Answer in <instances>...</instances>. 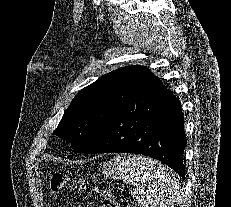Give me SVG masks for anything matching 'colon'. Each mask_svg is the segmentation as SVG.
Instances as JSON below:
<instances>
[{"label": "colon", "mask_w": 231, "mask_h": 207, "mask_svg": "<svg viewBox=\"0 0 231 207\" xmlns=\"http://www.w3.org/2000/svg\"><path fill=\"white\" fill-rule=\"evenodd\" d=\"M51 191L56 198H59L67 187H82L88 189L95 198L101 200L99 207H118L113 196L103 187L99 186L94 180L55 173L50 181ZM131 207V206H127Z\"/></svg>", "instance_id": "5ec220e1"}]
</instances>
